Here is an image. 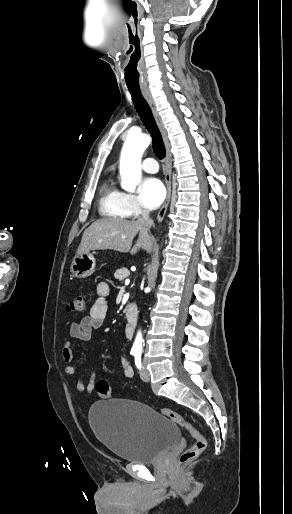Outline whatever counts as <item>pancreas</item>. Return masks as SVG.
Here are the masks:
<instances>
[{"instance_id": "cf45deb5", "label": "pancreas", "mask_w": 292, "mask_h": 514, "mask_svg": "<svg viewBox=\"0 0 292 514\" xmlns=\"http://www.w3.org/2000/svg\"><path fill=\"white\" fill-rule=\"evenodd\" d=\"M130 272L127 270V268H121V270H116L114 276L119 280V282H122V280H125V278H128Z\"/></svg>"}]
</instances>
